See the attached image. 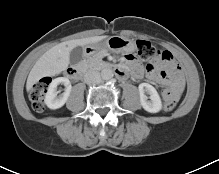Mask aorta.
<instances>
[{
    "label": "aorta",
    "instance_id": "obj_1",
    "mask_svg": "<svg viewBox=\"0 0 219 174\" xmlns=\"http://www.w3.org/2000/svg\"><path fill=\"white\" fill-rule=\"evenodd\" d=\"M113 76V71L110 68H105L101 71V77L103 80H110Z\"/></svg>",
    "mask_w": 219,
    "mask_h": 174
}]
</instances>
